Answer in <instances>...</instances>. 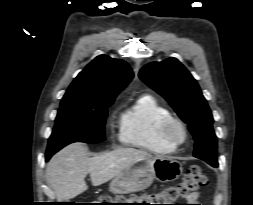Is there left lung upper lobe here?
I'll return each instance as SVG.
<instances>
[{
    "mask_svg": "<svg viewBox=\"0 0 253 205\" xmlns=\"http://www.w3.org/2000/svg\"><path fill=\"white\" fill-rule=\"evenodd\" d=\"M139 77L162 95L188 124L195 140L194 156L217 167V137L212 127L213 117L196 80L188 70L176 58H168L147 64L140 70Z\"/></svg>",
    "mask_w": 253,
    "mask_h": 205,
    "instance_id": "5c2ea615",
    "label": "left lung upper lobe"
}]
</instances>
